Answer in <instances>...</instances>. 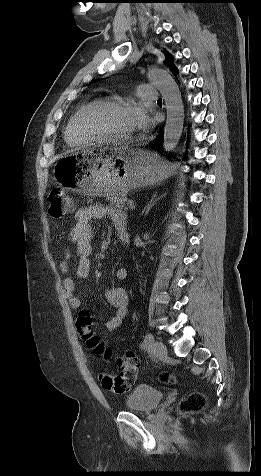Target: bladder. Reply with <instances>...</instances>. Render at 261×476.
I'll list each match as a JSON object with an SVG mask.
<instances>
[{
    "mask_svg": "<svg viewBox=\"0 0 261 476\" xmlns=\"http://www.w3.org/2000/svg\"><path fill=\"white\" fill-rule=\"evenodd\" d=\"M162 399L161 391L149 385L140 384L127 395L125 407L132 412L149 413L159 406Z\"/></svg>",
    "mask_w": 261,
    "mask_h": 476,
    "instance_id": "31cf9c89",
    "label": "bladder"
}]
</instances>
